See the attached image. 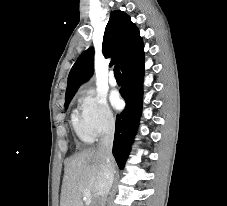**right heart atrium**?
<instances>
[{
	"instance_id": "obj_1",
	"label": "right heart atrium",
	"mask_w": 227,
	"mask_h": 206,
	"mask_svg": "<svg viewBox=\"0 0 227 206\" xmlns=\"http://www.w3.org/2000/svg\"><path fill=\"white\" fill-rule=\"evenodd\" d=\"M82 122L92 138L110 132L115 126V116L106 98L92 89H83L78 95Z\"/></svg>"
}]
</instances>
